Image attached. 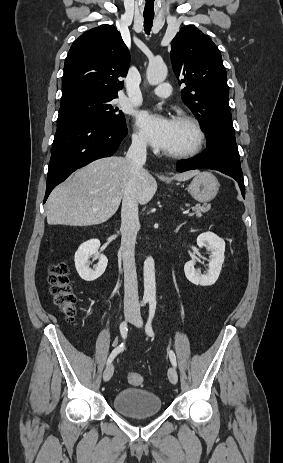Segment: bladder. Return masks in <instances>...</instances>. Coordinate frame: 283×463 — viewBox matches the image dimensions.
Masks as SVG:
<instances>
[{
    "mask_svg": "<svg viewBox=\"0 0 283 463\" xmlns=\"http://www.w3.org/2000/svg\"><path fill=\"white\" fill-rule=\"evenodd\" d=\"M112 404L118 413L128 418L151 417L162 410L160 397L141 388L120 390L114 395Z\"/></svg>",
    "mask_w": 283,
    "mask_h": 463,
    "instance_id": "bladder-1",
    "label": "bladder"
}]
</instances>
